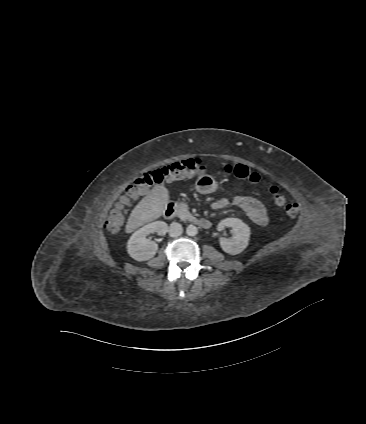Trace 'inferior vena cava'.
I'll list each match as a JSON object with an SVG mask.
<instances>
[{
    "mask_svg": "<svg viewBox=\"0 0 366 424\" xmlns=\"http://www.w3.org/2000/svg\"><path fill=\"white\" fill-rule=\"evenodd\" d=\"M182 232H183V228H182L181 224H179L177 222H173V223L170 224L169 235L171 237L180 236L182 234Z\"/></svg>",
    "mask_w": 366,
    "mask_h": 424,
    "instance_id": "inferior-vena-cava-1",
    "label": "inferior vena cava"
}]
</instances>
